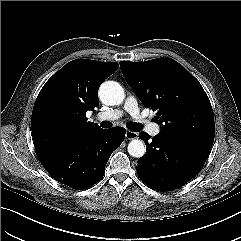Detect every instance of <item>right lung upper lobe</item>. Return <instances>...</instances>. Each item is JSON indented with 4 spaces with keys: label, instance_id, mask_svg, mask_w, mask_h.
I'll return each mask as SVG.
<instances>
[{
    "label": "right lung upper lobe",
    "instance_id": "cb5924a9",
    "mask_svg": "<svg viewBox=\"0 0 241 241\" xmlns=\"http://www.w3.org/2000/svg\"><path fill=\"white\" fill-rule=\"evenodd\" d=\"M118 67V63L76 59L46 82L31 118L36 153L67 145L101 129L87 121L86 112L98 105L100 84Z\"/></svg>",
    "mask_w": 241,
    "mask_h": 241
}]
</instances>
